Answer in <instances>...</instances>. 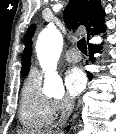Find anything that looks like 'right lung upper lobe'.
<instances>
[{
	"label": "right lung upper lobe",
	"mask_w": 116,
	"mask_h": 134,
	"mask_svg": "<svg viewBox=\"0 0 116 134\" xmlns=\"http://www.w3.org/2000/svg\"><path fill=\"white\" fill-rule=\"evenodd\" d=\"M105 12L102 9L100 0H70L67 8L64 10V21L69 29L75 30L80 25H84L88 36L98 34L104 31ZM91 26H96L91 29ZM35 30V26L29 27L25 35V49L22 55V71L25 76L30 68V60L32 53L31 37Z\"/></svg>",
	"instance_id": "right-lung-upper-lobe-1"
}]
</instances>
